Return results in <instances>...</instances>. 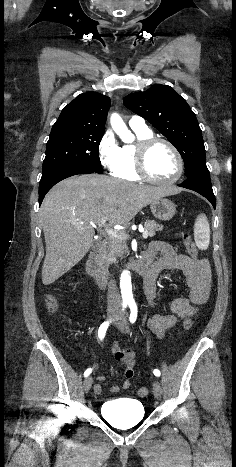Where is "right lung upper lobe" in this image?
Instances as JSON below:
<instances>
[{"label":"right lung upper lobe","instance_id":"1","mask_svg":"<svg viewBox=\"0 0 236 467\" xmlns=\"http://www.w3.org/2000/svg\"><path fill=\"white\" fill-rule=\"evenodd\" d=\"M110 98L98 93H83L65 106L52 128L105 131Z\"/></svg>","mask_w":236,"mask_h":467}]
</instances>
